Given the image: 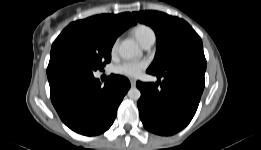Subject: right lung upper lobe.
<instances>
[{
    "label": "right lung upper lobe",
    "instance_id": "obj_1",
    "mask_svg": "<svg viewBox=\"0 0 261 150\" xmlns=\"http://www.w3.org/2000/svg\"><path fill=\"white\" fill-rule=\"evenodd\" d=\"M136 24L129 12L114 14H102L89 17L85 20H79L69 24L66 28L75 26H87L99 29L109 35L112 38H117L122 32H124L130 26Z\"/></svg>",
    "mask_w": 261,
    "mask_h": 150
}]
</instances>
